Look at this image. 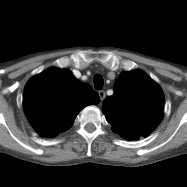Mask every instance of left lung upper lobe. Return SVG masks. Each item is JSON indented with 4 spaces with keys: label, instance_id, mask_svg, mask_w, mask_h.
<instances>
[{
    "label": "left lung upper lobe",
    "instance_id": "left-lung-upper-lobe-1",
    "mask_svg": "<svg viewBox=\"0 0 187 187\" xmlns=\"http://www.w3.org/2000/svg\"><path fill=\"white\" fill-rule=\"evenodd\" d=\"M164 95L160 86L141 70L122 72L102 112L112 130L126 140L150 134L161 122Z\"/></svg>",
    "mask_w": 187,
    "mask_h": 187
}]
</instances>
